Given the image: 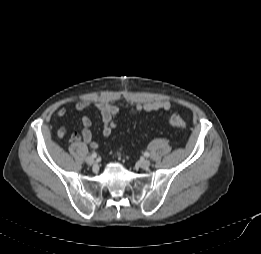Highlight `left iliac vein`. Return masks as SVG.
I'll return each instance as SVG.
<instances>
[{
	"label": "left iliac vein",
	"mask_w": 261,
	"mask_h": 254,
	"mask_svg": "<svg viewBox=\"0 0 261 254\" xmlns=\"http://www.w3.org/2000/svg\"><path fill=\"white\" fill-rule=\"evenodd\" d=\"M139 166L142 168V169H148L150 167V162L146 159H141L139 161Z\"/></svg>",
	"instance_id": "obj_1"
}]
</instances>
